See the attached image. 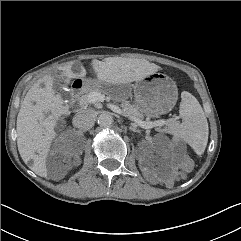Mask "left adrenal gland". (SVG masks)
Returning a JSON list of instances; mask_svg holds the SVG:
<instances>
[{"instance_id": "left-adrenal-gland-1", "label": "left adrenal gland", "mask_w": 241, "mask_h": 241, "mask_svg": "<svg viewBox=\"0 0 241 241\" xmlns=\"http://www.w3.org/2000/svg\"><path fill=\"white\" fill-rule=\"evenodd\" d=\"M130 130L134 131V132H139V130L137 129V127L135 125H131L129 127Z\"/></svg>"}]
</instances>
